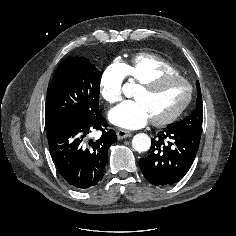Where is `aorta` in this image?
I'll return each instance as SVG.
<instances>
[{"mask_svg": "<svg viewBox=\"0 0 236 236\" xmlns=\"http://www.w3.org/2000/svg\"><path fill=\"white\" fill-rule=\"evenodd\" d=\"M151 139L145 133H138L132 139V147L137 152H146L150 149Z\"/></svg>", "mask_w": 236, "mask_h": 236, "instance_id": "1", "label": "aorta"}]
</instances>
